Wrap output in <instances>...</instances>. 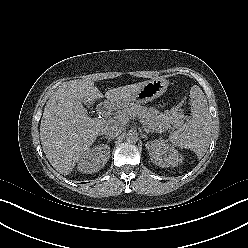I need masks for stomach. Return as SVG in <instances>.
<instances>
[{"label":"stomach","instance_id":"1","mask_svg":"<svg viewBox=\"0 0 248 248\" xmlns=\"http://www.w3.org/2000/svg\"><path fill=\"white\" fill-rule=\"evenodd\" d=\"M168 87V82L164 78H154L146 81L140 89L131 95L127 100H115L110 103L115 108H124L132 104H144L163 95Z\"/></svg>","mask_w":248,"mask_h":248}]
</instances>
